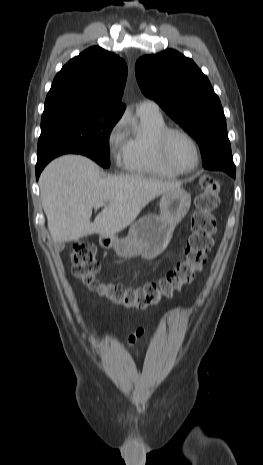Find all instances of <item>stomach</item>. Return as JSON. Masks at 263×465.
Returning <instances> with one entry per match:
<instances>
[{"instance_id":"1","label":"stomach","mask_w":263,"mask_h":465,"mask_svg":"<svg viewBox=\"0 0 263 465\" xmlns=\"http://www.w3.org/2000/svg\"><path fill=\"white\" fill-rule=\"evenodd\" d=\"M160 215H146L134 222L126 237L101 235L103 248H113L123 258L141 255L153 259L169 244L177 224L186 216L191 205V196L179 188L164 192L161 196Z\"/></svg>"}]
</instances>
